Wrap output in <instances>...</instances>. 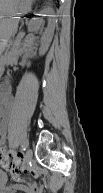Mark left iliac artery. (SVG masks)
<instances>
[{"label":"left iliac artery","instance_id":"44dca946","mask_svg":"<svg viewBox=\"0 0 103 193\" xmlns=\"http://www.w3.org/2000/svg\"><path fill=\"white\" fill-rule=\"evenodd\" d=\"M26 147H27V142H26V141H22V142H21V148H22L23 150H25Z\"/></svg>","mask_w":103,"mask_h":193}]
</instances>
